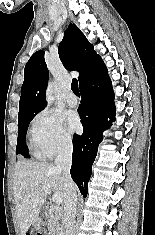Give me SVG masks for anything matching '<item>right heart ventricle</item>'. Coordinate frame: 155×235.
Returning a JSON list of instances; mask_svg holds the SVG:
<instances>
[{
	"mask_svg": "<svg viewBox=\"0 0 155 235\" xmlns=\"http://www.w3.org/2000/svg\"><path fill=\"white\" fill-rule=\"evenodd\" d=\"M32 150L36 156L44 157V155L36 148V146L34 144L32 145Z\"/></svg>",
	"mask_w": 155,
	"mask_h": 235,
	"instance_id": "right-heart-ventricle-1",
	"label": "right heart ventricle"
}]
</instances>
